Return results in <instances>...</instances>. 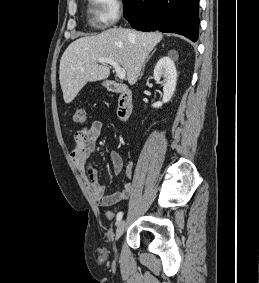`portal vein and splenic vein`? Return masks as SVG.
<instances>
[{"mask_svg": "<svg viewBox=\"0 0 259 283\" xmlns=\"http://www.w3.org/2000/svg\"><path fill=\"white\" fill-rule=\"evenodd\" d=\"M99 63H107L110 64L116 71V75L118 76L119 79H125L126 77V72L124 70V68L120 67L118 63H116L114 60L110 59V58H105V57H101L98 59Z\"/></svg>", "mask_w": 259, "mask_h": 283, "instance_id": "18ae733b", "label": "portal vein and splenic vein"}]
</instances>
